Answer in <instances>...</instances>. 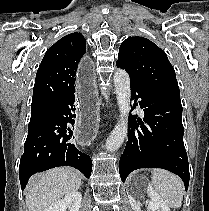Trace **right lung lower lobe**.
<instances>
[{
  "mask_svg": "<svg viewBox=\"0 0 209 211\" xmlns=\"http://www.w3.org/2000/svg\"><path fill=\"white\" fill-rule=\"evenodd\" d=\"M74 102V94L55 102L45 110L41 119L28 129L25 150L19 165L22 190L31 175L57 166H71L87 178L90 177L91 158L73 143L74 136L69 127L75 123Z\"/></svg>",
  "mask_w": 209,
  "mask_h": 211,
  "instance_id": "obj_1",
  "label": "right lung lower lobe"
}]
</instances>
